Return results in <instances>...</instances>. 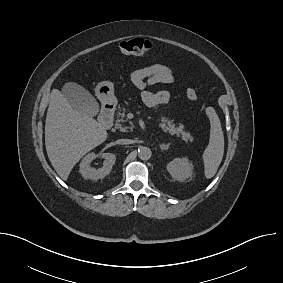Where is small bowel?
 <instances>
[{
	"label": "small bowel",
	"instance_id": "c3829d8e",
	"mask_svg": "<svg viewBox=\"0 0 283 283\" xmlns=\"http://www.w3.org/2000/svg\"><path fill=\"white\" fill-rule=\"evenodd\" d=\"M129 78L136 88L142 90L141 97L147 106L156 108L168 104L170 100L169 92H154L147 88L158 83H173L175 81L173 69L162 64H154L133 70Z\"/></svg>",
	"mask_w": 283,
	"mask_h": 283
}]
</instances>
